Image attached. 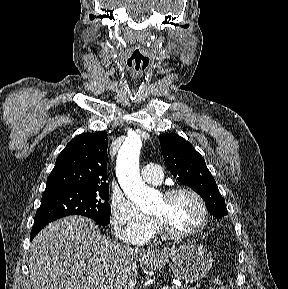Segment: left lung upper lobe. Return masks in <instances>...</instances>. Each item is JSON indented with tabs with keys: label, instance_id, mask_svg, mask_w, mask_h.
Here are the masks:
<instances>
[{
	"label": "left lung upper lobe",
	"instance_id": "1",
	"mask_svg": "<svg viewBox=\"0 0 288 289\" xmlns=\"http://www.w3.org/2000/svg\"><path fill=\"white\" fill-rule=\"evenodd\" d=\"M159 140L165 163L178 181L197 192L214 217L227 215L225 201L204 158L178 134H162Z\"/></svg>",
	"mask_w": 288,
	"mask_h": 289
}]
</instances>
